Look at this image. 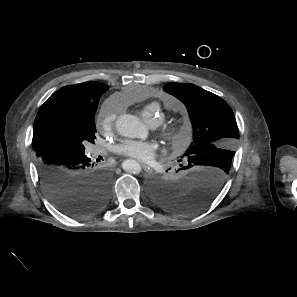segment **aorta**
<instances>
[{
	"label": "aorta",
	"mask_w": 297,
	"mask_h": 297,
	"mask_svg": "<svg viewBox=\"0 0 297 297\" xmlns=\"http://www.w3.org/2000/svg\"><path fill=\"white\" fill-rule=\"evenodd\" d=\"M117 132L127 138H138L146 135V129L140 120L133 115L123 114L116 120ZM122 168L128 173L139 174L140 164L133 159L123 161Z\"/></svg>",
	"instance_id": "762f6f07"
}]
</instances>
